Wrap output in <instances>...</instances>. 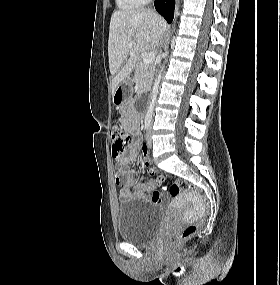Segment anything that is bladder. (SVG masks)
<instances>
[{
	"label": "bladder",
	"mask_w": 280,
	"mask_h": 285,
	"mask_svg": "<svg viewBox=\"0 0 280 285\" xmlns=\"http://www.w3.org/2000/svg\"><path fill=\"white\" fill-rule=\"evenodd\" d=\"M163 212L157 206L139 199L124 201L117 213V229L121 239L147 245L159 232Z\"/></svg>",
	"instance_id": "obj_1"
}]
</instances>
